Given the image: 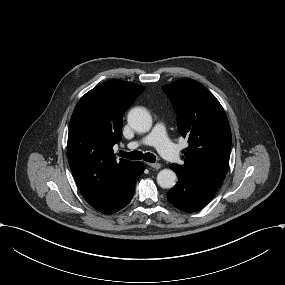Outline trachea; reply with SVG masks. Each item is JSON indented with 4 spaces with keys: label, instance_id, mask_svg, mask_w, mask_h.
<instances>
[{
    "label": "trachea",
    "instance_id": "3493384b",
    "mask_svg": "<svg viewBox=\"0 0 285 285\" xmlns=\"http://www.w3.org/2000/svg\"><path fill=\"white\" fill-rule=\"evenodd\" d=\"M118 155L120 157L126 158V159H130V160H141L144 159L147 162L150 163H154L156 161V156L152 153H145L143 154L140 151H133V152H124V151H120L118 153Z\"/></svg>",
    "mask_w": 285,
    "mask_h": 285
}]
</instances>
